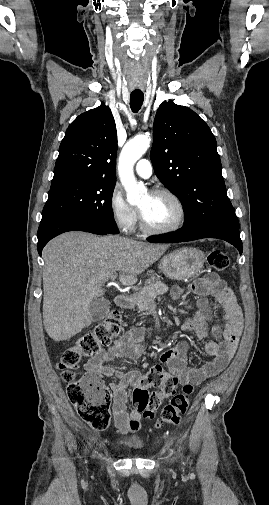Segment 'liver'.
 Wrapping results in <instances>:
<instances>
[{
    "label": "liver",
    "instance_id": "liver-1",
    "mask_svg": "<svg viewBox=\"0 0 269 505\" xmlns=\"http://www.w3.org/2000/svg\"><path fill=\"white\" fill-rule=\"evenodd\" d=\"M166 245L136 241L118 235L104 237L67 232L43 249V324L54 341L75 336L86 325L93 300L103 296L104 284L117 276L122 285L154 264Z\"/></svg>",
    "mask_w": 269,
    "mask_h": 505
}]
</instances>
